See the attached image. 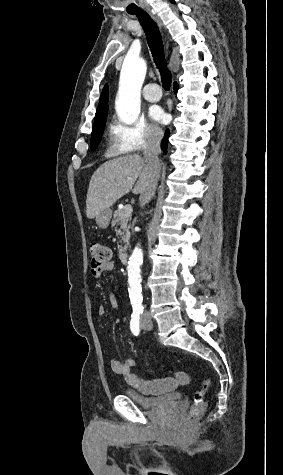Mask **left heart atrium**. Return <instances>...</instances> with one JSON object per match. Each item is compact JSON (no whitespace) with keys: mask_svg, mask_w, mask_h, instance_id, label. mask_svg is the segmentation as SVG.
<instances>
[{"mask_svg":"<svg viewBox=\"0 0 283 475\" xmlns=\"http://www.w3.org/2000/svg\"><path fill=\"white\" fill-rule=\"evenodd\" d=\"M149 115L150 118L158 124H164L166 122V114L161 108L152 109Z\"/></svg>","mask_w":283,"mask_h":475,"instance_id":"obj_1","label":"left heart atrium"}]
</instances>
